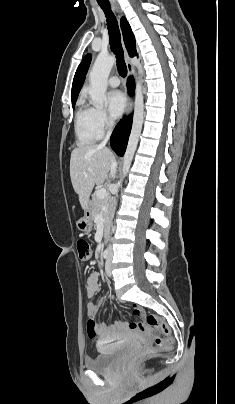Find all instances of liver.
I'll list each match as a JSON object with an SVG mask.
<instances>
[{"mask_svg":"<svg viewBox=\"0 0 235 404\" xmlns=\"http://www.w3.org/2000/svg\"><path fill=\"white\" fill-rule=\"evenodd\" d=\"M113 160V154L102 144L81 146L71 152L70 177L82 209H87L95 184L107 179Z\"/></svg>","mask_w":235,"mask_h":404,"instance_id":"6515ba94","label":"liver"}]
</instances>
